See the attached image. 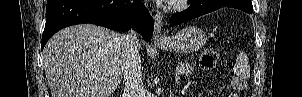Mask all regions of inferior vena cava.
I'll list each match as a JSON object with an SVG mask.
<instances>
[{"mask_svg":"<svg viewBox=\"0 0 302 97\" xmlns=\"http://www.w3.org/2000/svg\"><path fill=\"white\" fill-rule=\"evenodd\" d=\"M122 40L125 44L126 58L123 67L124 95L126 97H144L138 33L131 29L122 35Z\"/></svg>","mask_w":302,"mask_h":97,"instance_id":"602c4592","label":"inferior vena cava"}]
</instances>
